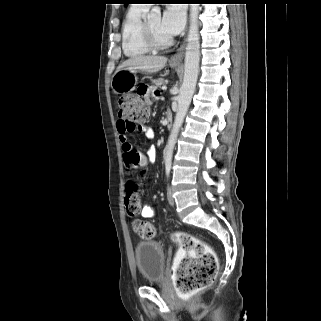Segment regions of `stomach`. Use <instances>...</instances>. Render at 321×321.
<instances>
[{"instance_id":"0dacf381","label":"stomach","mask_w":321,"mask_h":321,"mask_svg":"<svg viewBox=\"0 0 321 321\" xmlns=\"http://www.w3.org/2000/svg\"><path fill=\"white\" fill-rule=\"evenodd\" d=\"M173 67L177 63L171 64ZM137 85L136 71L123 69L117 71L111 81V87L116 94H127L135 89Z\"/></svg>"}]
</instances>
